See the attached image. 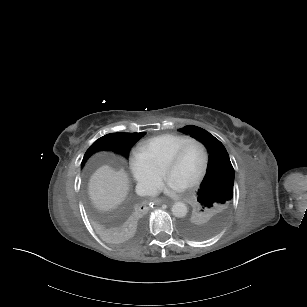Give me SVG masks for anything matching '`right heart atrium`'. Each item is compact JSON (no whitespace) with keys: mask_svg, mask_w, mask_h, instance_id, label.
Returning <instances> with one entry per match:
<instances>
[{"mask_svg":"<svg viewBox=\"0 0 307 307\" xmlns=\"http://www.w3.org/2000/svg\"><path fill=\"white\" fill-rule=\"evenodd\" d=\"M129 169L138 185L149 186L163 176V167L152 155L138 146L129 152Z\"/></svg>","mask_w":307,"mask_h":307,"instance_id":"d8ad5b80","label":"right heart atrium"}]
</instances>
